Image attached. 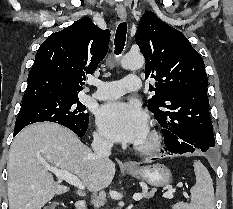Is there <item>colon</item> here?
Here are the masks:
<instances>
[{"label": "colon", "mask_w": 233, "mask_h": 209, "mask_svg": "<svg viewBox=\"0 0 233 209\" xmlns=\"http://www.w3.org/2000/svg\"><path fill=\"white\" fill-rule=\"evenodd\" d=\"M42 209H58V204L56 202H52L50 204L43 206Z\"/></svg>", "instance_id": "1"}]
</instances>
